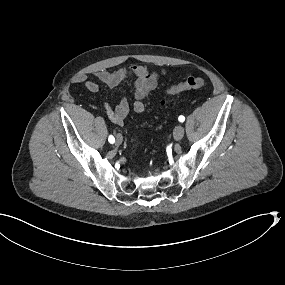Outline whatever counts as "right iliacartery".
<instances>
[{
	"mask_svg": "<svg viewBox=\"0 0 285 285\" xmlns=\"http://www.w3.org/2000/svg\"><path fill=\"white\" fill-rule=\"evenodd\" d=\"M108 141H109L111 144H113V143L115 142V138H114L112 135H110L109 138H108Z\"/></svg>",
	"mask_w": 285,
	"mask_h": 285,
	"instance_id": "right-iliac-artery-1",
	"label": "right iliac artery"
}]
</instances>
